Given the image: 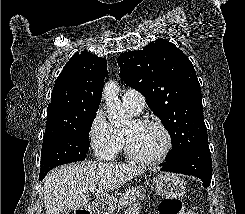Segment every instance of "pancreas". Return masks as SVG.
<instances>
[{
	"label": "pancreas",
	"mask_w": 245,
	"mask_h": 214,
	"mask_svg": "<svg viewBox=\"0 0 245 214\" xmlns=\"http://www.w3.org/2000/svg\"><path fill=\"white\" fill-rule=\"evenodd\" d=\"M146 197L145 189L141 186L139 187H131L125 190L120 196L118 205H114L111 210L121 209L122 207L135 202L137 199H144Z\"/></svg>",
	"instance_id": "obj_1"
}]
</instances>
